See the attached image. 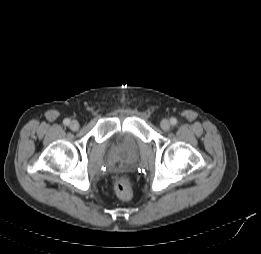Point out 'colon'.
<instances>
[{
	"mask_svg": "<svg viewBox=\"0 0 261 254\" xmlns=\"http://www.w3.org/2000/svg\"><path fill=\"white\" fill-rule=\"evenodd\" d=\"M114 191L122 200H129L132 197V188L130 180L127 177H118L114 181Z\"/></svg>",
	"mask_w": 261,
	"mask_h": 254,
	"instance_id": "1",
	"label": "colon"
}]
</instances>
